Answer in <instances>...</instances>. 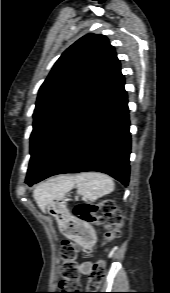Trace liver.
<instances>
[{"instance_id": "obj_1", "label": "liver", "mask_w": 170, "mask_h": 293, "mask_svg": "<svg viewBox=\"0 0 170 293\" xmlns=\"http://www.w3.org/2000/svg\"><path fill=\"white\" fill-rule=\"evenodd\" d=\"M75 177H59L49 183H45L37 187L33 193V197L39 208L44 211V208L49 199L55 197L63 191L70 189L74 184Z\"/></svg>"}]
</instances>
